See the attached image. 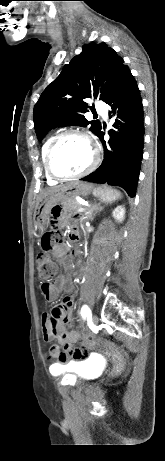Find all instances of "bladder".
<instances>
[{"mask_svg": "<svg viewBox=\"0 0 165 461\" xmlns=\"http://www.w3.org/2000/svg\"><path fill=\"white\" fill-rule=\"evenodd\" d=\"M71 370H73L80 379H92L99 374L100 361L94 357H89L72 364Z\"/></svg>", "mask_w": 165, "mask_h": 461, "instance_id": "1", "label": "bladder"}]
</instances>
